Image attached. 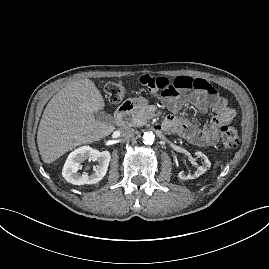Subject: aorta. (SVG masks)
<instances>
[{
  "mask_svg": "<svg viewBox=\"0 0 269 269\" xmlns=\"http://www.w3.org/2000/svg\"><path fill=\"white\" fill-rule=\"evenodd\" d=\"M155 140V135L152 131H146L143 134V142L145 144H152Z\"/></svg>",
  "mask_w": 269,
  "mask_h": 269,
  "instance_id": "762f6f07",
  "label": "aorta"
}]
</instances>
